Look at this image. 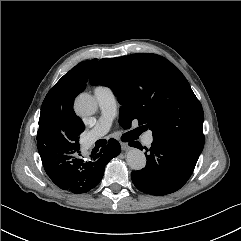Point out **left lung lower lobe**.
<instances>
[{
    "label": "left lung lower lobe",
    "instance_id": "0a47b994",
    "mask_svg": "<svg viewBox=\"0 0 241 241\" xmlns=\"http://www.w3.org/2000/svg\"><path fill=\"white\" fill-rule=\"evenodd\" d=\"M130 146L143 149L138 141ZM146 149L147 164L139 171H132L135 187L151 195H166L179 190L190 178L201 151L162 138H153Z\"/></svg>",
    "mask_w": 241,
    "mask_h": 241
}]
</instances>
